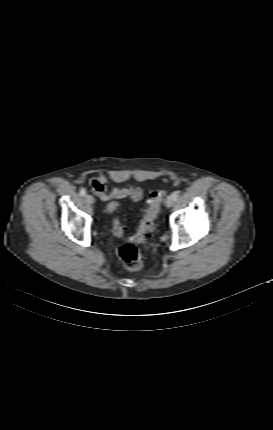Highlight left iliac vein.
Segmentation results:
<instances>
[{"instance_id": "obj_1", "label": "left iliac vein", "mask_w": 273, "mask_h": 430, "mask_svg": "<svg viewBox=\"0 0 273 430\" xmlns=\"http://www.w3.org/2000/svg\"><path fill=\"white\" fill-rule=\"evenodd\" d=\"M175 199L173 198L172 195L168 196L166 201H165V205L167 207H171L174 204Z\"/></svg>"}]
</instances>
